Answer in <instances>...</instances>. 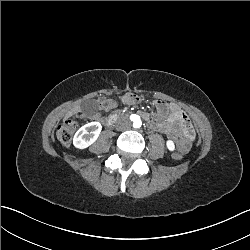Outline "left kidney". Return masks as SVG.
Here are the masks:
<instances>
[{"mask_svg":"<svg viewBox=\"0 0 250 250\" xmlns=\"http://www.w3.org/2000/svg\"><path fill=\"white\" fill-rule=\"evenodd\" d=\"M166 144H167V148H168L170 151H173V150H174V143H173V141L168 140Z\"/></svg>","mask_w":250,"mask_h":250,"instance_id":"left-kidney-1","label":"left kidney"}]
</instances>
